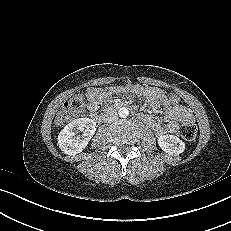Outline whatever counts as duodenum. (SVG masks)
<instances>
[{
    "instance_id": "410a0bca",
    "label": "duodenum",
    "mask_w": 231,
    "mask_h": 231,
    "mask_svg": "<svg viewBox=\"0 0 231 231\" xmlns=\"http://www.w3.org/2000/svg\"><path fill=\"white\" fill-rule=\"evenodd\" d=\"M126 104L122 101L115 102L113 106L111 107H105L100 110V113H98V109L92 113V117L96 121H101L106 115H108L113 108H122L125 107Z\"/></svg>"
}]
</instances>
